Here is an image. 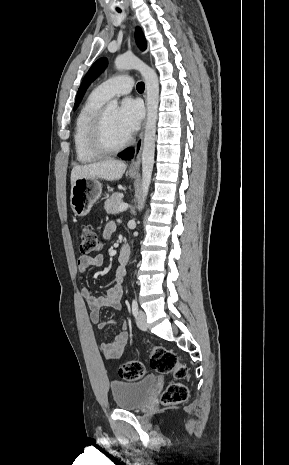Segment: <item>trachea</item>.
I'll use <instances>...</instances> for the list:
<instances>
[{
	"label": "trachea",
	"mask_w": 289,
	"mask_h": 465,
	"mask_svg": "<svg viewBox=\"0 0 289 465\" xmlns=\"http://www.w3.org/2000/svg\"><path fill=\"white\" fill-rule=\"evenodd\" d=\"M118 12H120V10H118ZM137 88V91L138 92H143L144 91V83L143 82H139L136 86Z\"/></svg>",
	"instance_id": "1"
}]
</instances>
